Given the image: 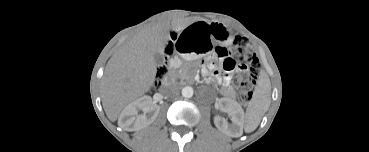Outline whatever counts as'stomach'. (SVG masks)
<instances>
[{
  "mask_svg": "<svg viewBox=\"0 0 369 152\" xmlns=\"http://www.w3.org/2000/svg\"><path fill=\"white\" fill-rule=\"evenodd\" d=\"M220 30H221V35L218 38H222V39L227 38L228 30L224 26H221Z\"/></svg>",
  "mask_w": 369,
  "mask_h": 152,
  "instance_id": "0dacf381",
  "label": "stomach"
}]
</instances>
